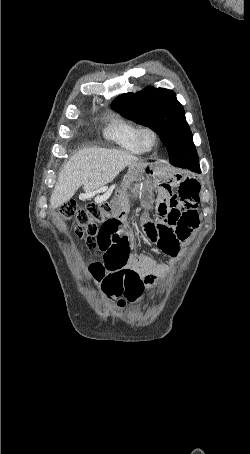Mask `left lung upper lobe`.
<instances>
[{
  "label": "left lung upper lobe",
  "mask_w": 250,
  "mask_h": 454,
  "mask_svg": "<svg viewBox=\"0 0 250 454\" xmlns=\"http://www.w3.org/2000/svg\"><path fill=\"white\" fill-rule=\"evenodd\" d=\"M111 107L157 132L170 157L186 153L197 155L183 106L173 91L146 88L137 93H126L118 96Z\"/></svg>",
  "instance_id": "left-lung-upper-lobe-1"
}]
</instances>
